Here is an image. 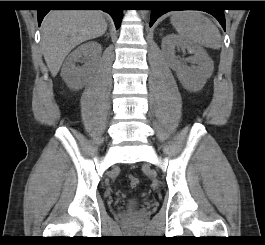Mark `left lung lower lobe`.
I'll return each mask as SVG.
<instances>
[{
	"label": "left lung lower lobe",
	"instance_id": "1",
	"mask_svg": "<svg viewBox=\"0 0 265 245\" xmlns=\"http://www.w3.org/2000/svg\"><path fill=\"white\" fill-rule=\"evenodd\" d=\"M155 8L151 10L150 26L154 24L158 17L171 10H181V7H194L196 4L192 1H156ZM213 4H216L215 2ZM213 15L225 30L224 10L221 8H211L203 10Z\"/></svg>",
	"mask_w": 265,
	"mask_h": 245
}]
</instances>
